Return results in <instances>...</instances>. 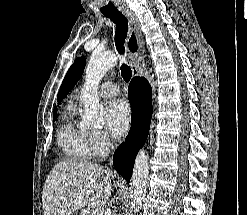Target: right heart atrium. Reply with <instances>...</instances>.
I'll return each mask as SVG.
<instances>
[{
  "label": "right heart atrium",
  "mask_w": 247,
  "mask_h": 215,
  "mask_svg": "<svg viewBox=\"0 0 247 215\" xmlns=\"http://www.w3.org/2000/svg\"><path fill=\"white\" fill-rule=\"evenodd\" d=\"M90 143L94 155L97 156H102L106 154L112 145V141L109 135L104 131H91Z\"/></svg>",
  "instance_id": "right-heart-atrium-1"
}]
</instances>
